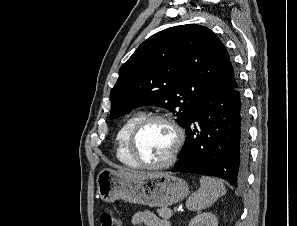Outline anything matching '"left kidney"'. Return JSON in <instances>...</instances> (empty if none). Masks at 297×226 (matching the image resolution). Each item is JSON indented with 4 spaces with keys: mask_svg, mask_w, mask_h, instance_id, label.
Instances as JSON below:
<instances>
[{
    "mask_svg": "<svg viewBox=\"0 0 297 226\" xmlns=\"http://www.w3.org/2000/svg\"><path fill=\"white\" fill-rule=\"evenodd\" d=\"M189 226H218V220L213 213L204 212L191 219Z\"/></svg>",
    "mask_w": 297,
    "mask_h": 226,
    "instance_id": "5707ae66",
    "label": "left kidney"
}]
</instances>
